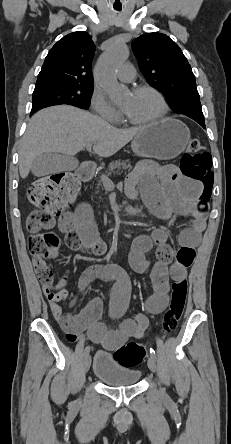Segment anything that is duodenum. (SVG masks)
<instances>
[{"label": "duodenum", "mask_w": 231, "mask_h": 444, "mask_svg": "<svg viewBox=\"0 0 231 444\" xmlns=\"http://www.w3.org/2000/svg\"><path fill=\"white\" fill-rule=\"evenodd\" d=\"M77 175L82 180H89L93 175V168L90 164H83L79 170L77 171ZM115 272H108L107 277L108 279H113L115 277Z\"/></svg>", "instance_id": "duodenum-1"}]
</instances>
